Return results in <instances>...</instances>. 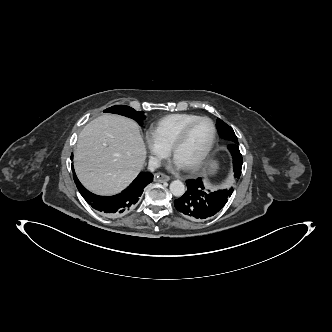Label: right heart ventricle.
Listing matches in <instances>:
<instances>
[{
  "mask_svg": "<svg viewBox=\"0 0 332 332\" xmlns=\"http://www.w3.org/2000/svg\"><path fill=\"white\" fill-rule=\"evenodd\" d=\"M198 117V115L187 113L166 115L152 126L151 132L169 149L181 129Z\"/></svg>",
  "mask_w": 332,
  "mask_h": 332,
  "instance_id": "e07e8e85",
  "label": "right heart ventricle"
}]
</instances>
